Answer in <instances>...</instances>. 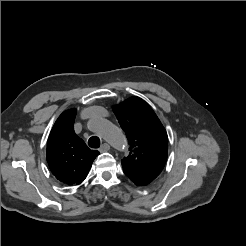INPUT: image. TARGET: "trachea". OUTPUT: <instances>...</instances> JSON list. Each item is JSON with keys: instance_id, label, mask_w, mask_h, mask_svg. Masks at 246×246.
I'll use <instances>...</instances> for the list:
<instances>
[{"instance_id": "obj_1", "label": "trachea", "mask_w": 246, "mask_h": 246, "mask_svg": "<svg viewBox=\"0 0 246 246\" xmlns=\"http://www.w3.org/2000/svg\"><path fill=\"white\" fill-rule=\"evenodd\" d=\"M88 145L91 148H99L100 147V139L97 136H92L88 140Z\"/></svg>"}]
</instances>
